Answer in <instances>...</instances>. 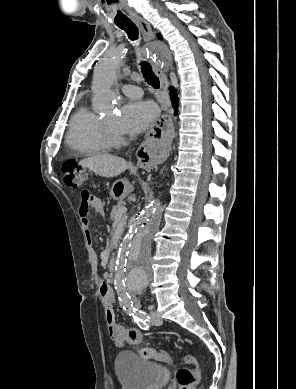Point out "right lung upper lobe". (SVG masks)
Segmentation results:
<instances>
[{
	"mask_svg": "<svg viewBox=\"0 0 296 389\" xmlns=\"http://www.w3.org/2000/svg\"><path fill=\"white\" fill-rule=\"evenodd\" d=\"M158 38L161 39V35L160 34H157Z\"/></svg>",
	"mask_w": 296,
	"mask_h": 389,
	"instance_id": "right-lung-upper-lobe-1",
	"label": "right lung upper lobe"
}]
</instances>
